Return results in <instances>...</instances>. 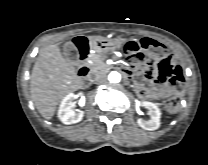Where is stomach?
I'll use <instances>...</instances> for the list:
<instances>
[{"label":"stomach","mask_w":208,"mask_h":165,"mask_svg":"<svg viewBox=\"0 0 208 165\" xmlns=\"http://www.w3.org/2000/svg\"><path fill=\"white\" fill-rule=\"evenodd\" d=\"M123 44L122 38L89 37L90 48L98 53L119 49Z\"/></svg>","instance_id":"obj_1"}]
</instances>
